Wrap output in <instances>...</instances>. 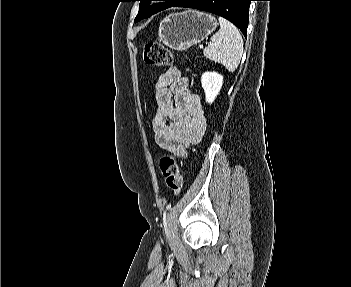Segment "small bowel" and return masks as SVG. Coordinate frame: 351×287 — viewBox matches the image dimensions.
<instances>
[{
    "label": "small bowel",
    "mask_w": 351,
    "mask_h": 287,
    "mask_svg": "<svg viewBox=\"0 0 351 287\" xmlns=\"http://www.w3.org/2000/svg\"><path fill=\"white\" fill-rule=\"evenodd\" d=\"M156 109L152 119L158 146L183 155L200 141L206 129V116L198 94L188 89L187 79L177 68L161 74L154 86Z\"/></svg>",
    "instance_id": "1"
}]
</instances>
